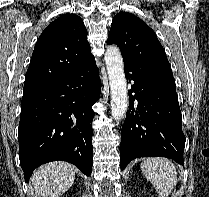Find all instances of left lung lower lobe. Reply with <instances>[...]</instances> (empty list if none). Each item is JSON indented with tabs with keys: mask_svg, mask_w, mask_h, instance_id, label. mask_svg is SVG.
<instances>
[{
	"mask_svg": "<svg viewBox=\"0 0 209 197\" xmlns=\"http://www.w3.org/2000/svg\"><path fill=\"white\" fill-rule=\"evenodd\" d=\"M124 65L127 81L134 84L121 130V169L138 157H167L184 165L185 136L174 78Z\"/></svg>",
	"mask_w": 209,
	"mask_h": 197,
	"instance_id": "0a47b994",
	"label": "left lung lower lobe"
}]
</instances>
